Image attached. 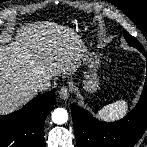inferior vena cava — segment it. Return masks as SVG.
<instances>
[{
  "mask_svg": "<svg viewBox=\"0 0 147 147\" xmlns=\"http://www.w3.org/2000/svg\"><path fill=\"white\" fill-rule=\"evenodd\" d=\"M51 83L48 78L44 77L34 83V89L39 91H46L50 88Z\"/></svg>",
  "mask_w": 147,
  "mask_h": 147,
  "instance_id": "inferior-vena-cava-1",
  "label": "inferior vena cava"
}]
</instances>
